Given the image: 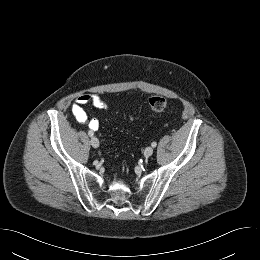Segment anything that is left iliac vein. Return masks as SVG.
I'll return each instance as SVG.
<instances>
[{
	"label": "left iliac vein",
	"instance_id": "left-iliac-vein-1",
	"mask_svg": "<svg viewBox=\"0 0 260 260\" xmlns=\"http://www.w3.org/2000/svg\"><path fill=\"white\" fill-rule=\"evenodd\" d=\"M153 151H154L153 147L148 146V147L144 150V156H145L146 158L150 157V156L153 154Z\"/></svg>",
	"mask_w": 260,
	"mask_h": 260
}]
</instances>
